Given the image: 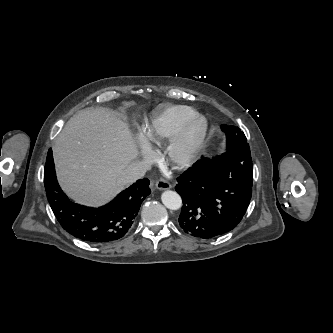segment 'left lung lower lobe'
Wrapping results in <instances>:
<instances>
[{
    "instance_id": "left-lung-lower-lobe-1",
    "label": "left lung lower lobe",
    "mask_w": 333,
    "mask_h": 333,
    "mask_svg": "<svg viewBox=\"0 0 333 333\" xmlns=\"http://www.w3.org/2000/svg\"><path fill=\"white\" fill-rule=\"evenodd\" d=\"M227 151L201 159L177 179L175 190L182 198L180 227L192 236L209 239L234 229L251 200L253 163L249 144L231 148L229 141L245 136L234 126L222 125Z\"/></svg>"
}]
</instances>
